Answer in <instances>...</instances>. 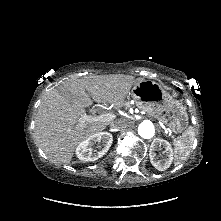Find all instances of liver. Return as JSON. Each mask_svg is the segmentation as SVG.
Masks as SVG:
<instances>
[{"mask_svg":"<svg viewBox=\"0 0 221 221\" xmlns=\"http://www.w3.org/2000/svg\"><path fill=\"white\" fill-rule=\"evenodd\" d=\"M143 80L124 74L87 76L47 92L38 108L34 134L48 158L54 163H70L81 141L121 120L82 122L85 108L92 105L90 96L95 102L120 109L131 87Z\"/></svg>","mask_w":221,"mask_h":221,"instance_id":"1","label":"liver"}]
</instances>
